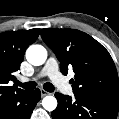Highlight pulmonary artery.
Segmentation results:
<instances>
[{
    "label": "pulmonary artery",
    "instance_id": "pulmonary-artery-1",
    "mask_svg": "<svg viewBox=\"0 0 119 119\" xmlns=\"http://www.w3.org/2000/svg\"><path fill=\"white\" fill-rule=\"evenodd\" d=\"M49 77L53 83L65 93L72 91L71 87L65 82L64 77L59 73V65L55 58H49L45 63L38 77ZM28 79L25 77L21 78L22 82H26Z\"/></svg>",
    "mask_w": 119,
    "mask_h": 119
}]
</instances>
